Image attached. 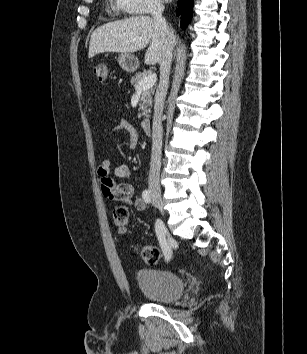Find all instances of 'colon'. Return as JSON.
<instances>
[{
	"instance_id": "1",
	"label": "colon",
	"mask_w": 307,
	"mask_h": 354,
	"mask_svg": "<svg viewBox=\"0 0 307 354\" xmlns=\"http://www.w3.org/2000/svg\"><path fill=\"white\" fill-rule=\"evenodd\" d=\"M94 74L99 81H104L109 72V65L106 62H99L94 65ZM113 226L120 234L128 230V211L125 207H117L113 211ZM136 252L147 263H157L160 259V251L152 245H137Z\"/></svg>"
}]
</instances>
